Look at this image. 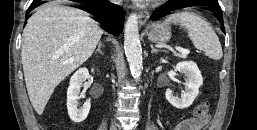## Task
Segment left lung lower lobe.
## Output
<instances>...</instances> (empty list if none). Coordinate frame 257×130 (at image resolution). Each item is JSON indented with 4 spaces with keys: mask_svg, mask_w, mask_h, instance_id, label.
Wrapping results in <instances>:
<instances>
[{
    "mask_svg": "<svg viewBox=\"0 0 257 130\" xmlns=\"http://www.w3.org/2000/svg\"><path fill=\"white\" fill-rule=\"evenodd\" d=\"M188 6H203L205 10L212 12L213 16L220 21L222 31L225 32L222 10L217 0H169L163 6L153 12L150 20H158L173 13L175 10Z\"/></svg>",
    "mask_w": 257,
    "mask_h": 130,
    "instance_id": "obj_1",
    "label": "left lung lower lobe"
}]
</instances>
